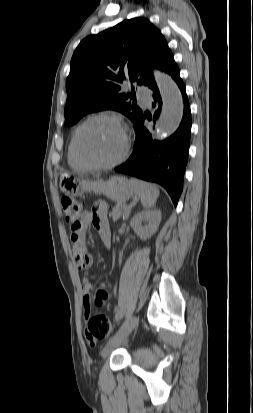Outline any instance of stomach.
Masks as SVG:
<instances>
[{
  "mask_svg": "<svg viewBox=\"0 0 253 413\" xmlns=\"http://www.w3.org/2000/svg\"><path fill=\"white\" fill-rule=\"evenodd\" d=\"M60 189L71 197L80 196L85 192L103 194L118 203L126 202L134 194V188L123 176H113L107 181H89L78 176L63 174L60 178Z\"/></svg>",
  "mask_w": 253,
  "mask_h": 413,
  "instance_id": "0dacf381",
  "label": "stomach"
}]
</instances>
